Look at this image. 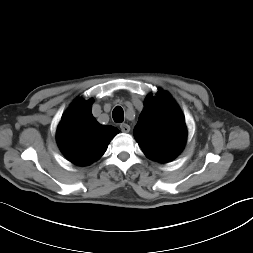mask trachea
<instances>
[{
	"label": "trachea",
	"instance_id": "3493384b",
	"mask_svg": "<svg viewBox=\"0 0 253 253\" xmlns=\"http://www.w3.org/2000/svg\"><path fill=\"white\" fill-rule=\"evenodd\" d=\"M113 120L117 123L124 121V112L120 106H116L112 112Z\"/></svg>",
	"mask_w": 253,
	"mask_h": 253
}]
</instances>
